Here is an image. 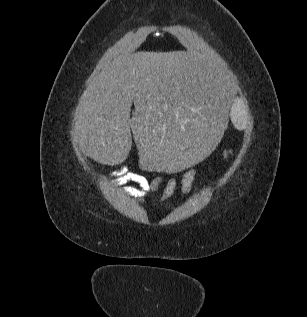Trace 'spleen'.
<instances>
[{"instance_id":"spleen-1","label":"spleen","mask_w":307,"mask_h":317,"mask_svg":"<svg viewBox=\"0 0 307 317\" xmlns=\"http://www.w3.org/2000/svg\"><path fill=\"white\" fill-rule=\"evenodd\" d=\"M234 102L236 104H240L242 102V99L240 97H236L234 99ZM231 119H232V122L237 129H239V130L244 129V127H245V112L238 113L235 108H232Z\"/></svg>"}]
</instances>
